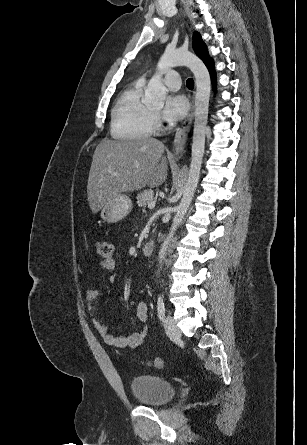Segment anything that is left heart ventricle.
Returning a JSON list of instances; mask_svg holds the SVG:
<instances>
[{"label": "left heart ventricle", "mask_w": 307, "mask_h": 445, "mask_svg": "<svg viewBox=\"0 0 307 445\" xmlns=\"http://www.w3.org/2000/svg\"><path fill=\"white\" fill-rule=\"evenodd\" d=\"M158 106L161 107V106H162L161 103H159ZM160 107L153 108V110H154V111H158Z\"/></svg>", "instance_id": "obj_1"}]
</instances>
